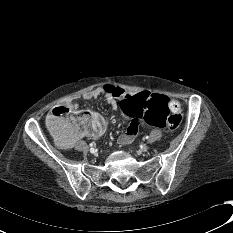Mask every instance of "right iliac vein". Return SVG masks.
<instances>
[{
	"label": "right iliac vein",
	"instance_id": "obj_1",
	"mask_svg": "<svg viewBox=\"0 0 233 233\" xmlns=\"http://www.w3.org/2000/svg\"><path fill=\"white\" fill-rule=\"evenodd\" d=\"M90 152H91L92 154H96V150H94V149H90Z\"/></svg>",
	"mask_w": 233,
	"mask_h": 233
}]
</instances>
